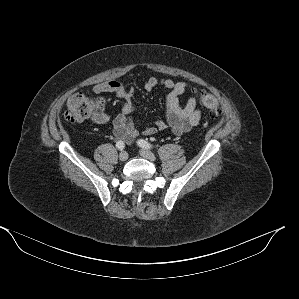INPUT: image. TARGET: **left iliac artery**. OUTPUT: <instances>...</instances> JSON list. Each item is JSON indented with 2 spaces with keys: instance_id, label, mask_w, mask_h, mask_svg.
Masks as SVG:
<instances>
[{
  "instance_id": "obj_1",
  "label": "left iliac artery",
  "mask_w": 299,
  "mask_h": 299,
  "mask_svg": "<svg viewBox=\"0 0 299 299\" xmlns=\"http://www.w3.org/2000/svg\"><path fill=\"white\" fill-rule=\"evenodd\" d=\"M137 143L142 148H145V149H151L152 148V145L149 142H147L143 139L138 140Z\"/></svg>"
}]
</instances>
